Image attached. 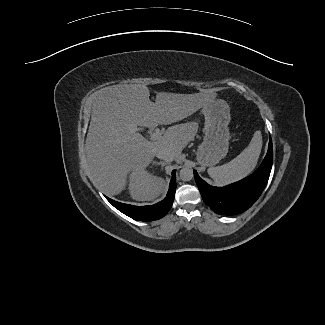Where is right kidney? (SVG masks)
Segmentation results:
<instances>
[{
    "label": "right kidney",
    "instance_id": "obj_1",
    "mask_svg": "<svg viewBox=\"0 0 325 325\" xmlns=\"http://www.w3.org/2000/svg\"><path fill=\"white\" fill-rule=\"evenodd\" d=\"M130 194L135 200L149 201L158 197L164 189V180L147 172L132 173Z\"/></svg>",
    "mask_w": 325,
    "mask_h": 325
}]
</instances>
